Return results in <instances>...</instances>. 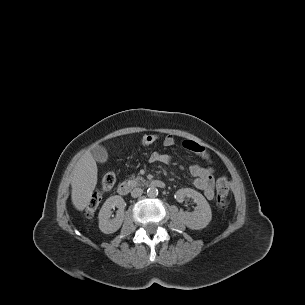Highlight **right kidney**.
Listing matches in <instances>:
<instances>
[{
    "label": "right kidney",
    "instance_id": "obj_1",
    "mask_svg": "<svg viewBox=\"0 0 305 305\" xmlns=\"http://www.w3.org/2000/svg\"><path fill=\"white\" fill-rule=\"evenodd\" d=\"M125 206L124 199L119 195L111 196L105 201L98 215L99 229L103 233L111 234L121 227L124 220ZM114 207H117L118 211L116 216L111 219V209Z\"/></svg>",
    "mask_w": 305,
    "mask_h": 305
}]
</instances>
